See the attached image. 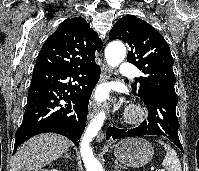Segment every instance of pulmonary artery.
I'll list each match as a JSON object with an SVG mask.
<instances>
[{"label":"pulmonary artery","instance_id":"e3ab8cb5","mask_svg":"<svg viewBox=\"0 0 199 171\" xmlns=\"http://www.w3.org/2000/svg\"><path fill=\"white\" fill-rule=\"evenodd\" d=\"M136 68L130 63H122L120 66V73L125 76H135Z\"/></svg>","mask_w":199,"mask_h":171}]
</instances>
